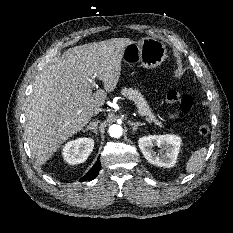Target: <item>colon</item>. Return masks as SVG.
Here are the masks:
<instances>
[{
  "label": "colon",
  "mask_w": 233,
  "mask_h": 233,
  "mask_svg": "<svg viewBox=\"0 0 233 233\" xmlns=\"http://www.w3.org/2000/svg\"><path fill=\"white\" fill-rule=\"evenodd\" d=\"M166 101L168 104L178 107L184 113L192 112L195 106V100L190 94H183L175 89L167 91ZM198 132L202 136H208L210 128L207 124H202L198 128Z\"/></svg>",
  "instance_id": "1"
}]
</instances>
